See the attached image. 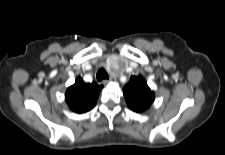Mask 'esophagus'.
Masks as SVG:
<instances>
[{"label": "esophagus", "mask_w": 225, "mask_h": 155, "mask_svg": "<svg viewBox=\"0 0 225 155\" xmlns=\"http://www.w3.org/2000/svg\"><path fill=\"white\" fill-rule=\"evenodd\" d=\"M114 80H115L114 77H110L109 79H104V80H103V84L106 85V84H108L109 82L114 81Z\"/></svg>", "instance_id": "obj_1"}]
</instances>
